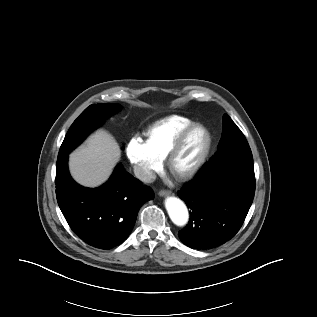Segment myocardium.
Here are the masks:
<instances>
[{"label": "myocardium", "mask_w": 317, "mask_h": 317, "mask_svg": "<svg viewBox=\"0 0 317 317\" xmlns=\"http://www.w3.org/2000/svg\"><path fill=\"white\" fill-rule=\"evenodd\" d=\"M196 130H200L204 135V144L202 150L200 152L199 157L195 161V163L189 167L187 170L182 172H177L174 170V161L178 154L180 153L185 141L187 138ZM211 134L209 130L200 123H192L186 129H184L175 139L172 146L170 147L167 155H166V165L168 170L180 181H187L192 179L203 167L206 159L209 155V151L211 148Z\"/></svg>", "instance_id": "myocardium-1"}]
</instances>
